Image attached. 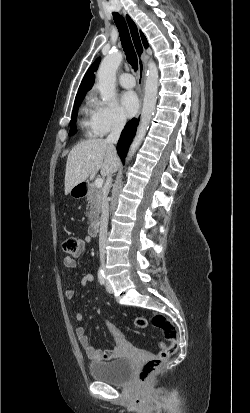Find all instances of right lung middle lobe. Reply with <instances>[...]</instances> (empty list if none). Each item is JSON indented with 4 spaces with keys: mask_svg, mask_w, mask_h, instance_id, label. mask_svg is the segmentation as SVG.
Wrapping results in <instances>:
<instances>
[{
    "mask_svg": "<svg viewBox=\"0 0 250 413\" xmlns=\"http://www.w3.org/2000/svg\"><path fill=\"white\" fill-rule=\"evenodd\" d=\"M84 96H79L75 98V103H74V108L72 112V118L70 121V131H69V136L73 135L76 132V126H75V121L77 117V107L80 105L82 102Z\"/></svg>",
    "mask_w": 250,
    "mask_h": 413,
    "instance_id": "1",
    "label": "right lung middle lobe"
}]
</instances>
